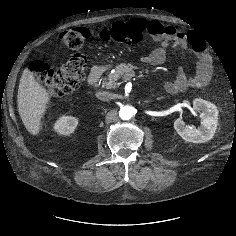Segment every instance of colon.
<instances>
[{
	"instance_id": "5ec220e1",
	"label": "colon",
	"mask_w": 236,
	"mask_h": 236,
	"mask_svg": "<svg viewBox=\"0 0 236 236\" xmlns=\"http://www.w3.org/2000/svg\"><path fill=\"white\" fill-rule=\"evenodd\" d=\"M147 29L143 19H132L114 23L110 28L91 32L86 28H73L60 34L63 44L72 50H80L83 45L96 38L126 45L138 44ZM87 57L82 52L73 54L62 66L52 68L41 60L33 61L31 71L51 95H65L74 92L84 79Z\"/></svg>"
}]
</instances>
